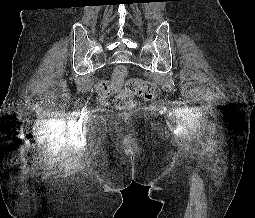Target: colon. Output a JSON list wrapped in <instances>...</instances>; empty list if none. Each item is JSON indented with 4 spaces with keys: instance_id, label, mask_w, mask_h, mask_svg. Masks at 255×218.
Listing matches in <instances>:
<instances>
[{
    "instance_id": "colon-1",
    "label": "colon",
    "mask_w": 255,
    "mask_h": 218,
    "mask_svg": "<svg viewBox=\"0 0 255 218\" xmlns=\"http://www.w3.org/2000/svg\"><path fill=\"white\" fill-rule=\"evenodd\" d=\"M127 75V67L119 65L114 69L113 81H103L98 87V91L102 96L117 92L115 105L120 110H127L134 106L133 95H139L146 100H152L155 95L154 85L150 81L141 78L129 79L126 83V89L124 91H118L119 84Z\"/></svg>"
}]
</instances>
